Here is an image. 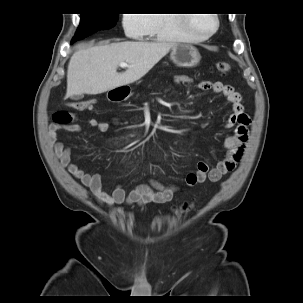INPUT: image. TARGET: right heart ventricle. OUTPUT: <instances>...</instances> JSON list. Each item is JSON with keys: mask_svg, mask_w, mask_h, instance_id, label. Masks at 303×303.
<instances>
[{"mask_svg": "<svg viewBox=\"0 0 303 303\" xmlns=\"http://www.w3.org/2000/svg\"><path fill=\"white\" fill-rule=\"evenodd\" d=\"M148 19L149 26L145 33L147 37H156L169 42L190 39L182 14H150Z\"/></svg>", "mask_w": 303, "mask_h": 303, "instance_id": "e07e8e85", "label": "right heart ventricle"}]
</instances>
